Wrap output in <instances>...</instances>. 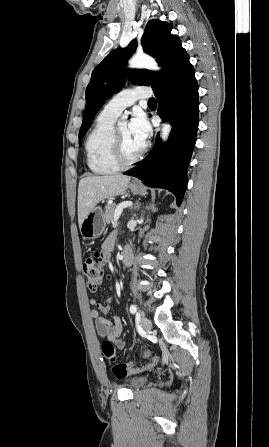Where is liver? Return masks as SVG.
Wrapping results in <instances>:
<instances>
[{"label":"liver","instance_id":"6515ba94","mask_svg":"<svg viewBox=\"0 0 269 447\" xmlns=\"http://www.w3.org/2000/svg\"><path fill=\"white\" fill-rule=\"evenodd\" d=\"M130 176H88L82 178L78 186V224L82 222L98 202L120 196L128 188Z\"/></svg>","mask_w":269,"mask_h":447}]
</instances>
